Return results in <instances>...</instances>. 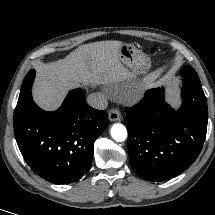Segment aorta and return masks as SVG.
Wrapping results in <instances>:
<instances>
[{"label": "aorta", "mask_w": 215, "mask_h": 215, "mask_svg": "<svg viewBox=\"0 0 215 215\" xmlns=\"http://www.w3.org/2000/svg\"><path fill=\"white\" fill-rule=\"evenodd\" d=\"M111 136L114 140L122 142L127 138V130L124 125L116 123L111 128Z\"/></svg>", "instance_id": "1"}]
</instances>
